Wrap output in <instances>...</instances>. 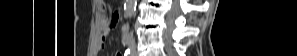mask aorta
<instances>
[{
  "instance_id": "obj_1",
  "label": "aorta",
  "mask_w": 297,
  "mask_h": 56,
  "mask_svg": "<svg viewBox=\"0 0 297 56\" xmlns=\"http://www.w3.org/2000/svg\"><path fill=\"white\" fill-rule=\"evenodd\" d=\"M136 9V0H126L124 4V15L131 18Z\"/></svg>"
}]
</instances>
